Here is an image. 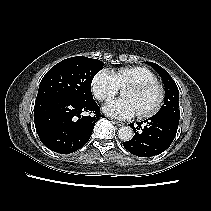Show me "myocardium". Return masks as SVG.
I'll return each mask as SVG.
<instances>
[{
	"instance_id": "f54148a6",
	"label": "myocardium",
	"mask_w": 211,
	"mask_h": 211,
	"mask_svg": "<svg viewBox=\"0 0 211 211\" xmlns=\"http://www.w3.org/2000/svg\"><path fill=\"white\" fill-rule=\"evenodd\" d=\"M128 88H132L137 91H146L150 88H156L158 90L159 96L155 105L149 111L138 113L139 118L146 119V118L153 117L159 112V110L161 109L165 101V88L157 80L133 83V84H130Z\"/></svg>"
}]
</instances>
